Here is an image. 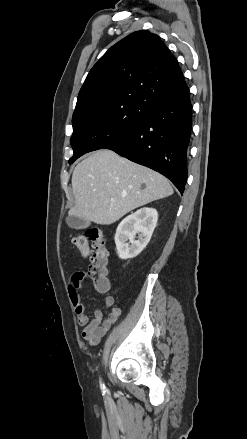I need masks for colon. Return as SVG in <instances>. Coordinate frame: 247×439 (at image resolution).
I'll return each instance as SVG.
<instances>
[{"instance_id":"1","label":"colon","mask_w":247,"mask_h":439,"mask_svg":"<svg viewBox=\"0 0 247 439\" xmlns=\"http://www.w3.org/2000/svg\"><path fill=\"white\" fill-rule=\"evenodd\" d=\"M74 245L82 257L90 256L87 275L91 278L98 292L108 291V252L105 247L103 234L98 228H90L73 239Z\"/></svg>"}]
</instances>
